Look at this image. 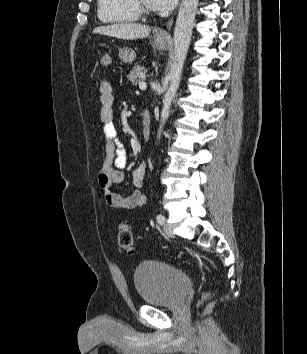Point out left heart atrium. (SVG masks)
Listing matches in <instances>:
<instances>
[{
  "instance_id": "left-heart-atrium-1",
  "label": "left heart atrium",
  "mask_w": 307,
  "mask_h": 354,
  "mask_svg": "<svg viewBox=\"0 0 307 354\" xmlns=\"http://www.w3.org/2000/svg\"><path fill=\"white\" fill-rule=\"evenodd\" d=\"M178 0H149L150 7L159 11L172 9Z\"/></svg>"
}]
</instances>
